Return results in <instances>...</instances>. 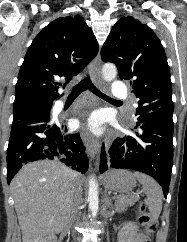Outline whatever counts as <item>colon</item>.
Wrapping results in <instances>:
<instances>
[{"label":"colon","instance_id":"5ec220e1","mask_svg":"<svg viewBox=\"0 0 187 242\" xmlns=\"http://www.w3.org/2000/svg\"><path fill=\"white\" fill-rule=\"evenodd\" d=\"M139 223L144 227L143 234L139 242H151L150 238L157 229V220L150 213L146 211L144 204L139 205Z\"/></svg>","mask_w":187,"mask_h":242}]
</instances>
